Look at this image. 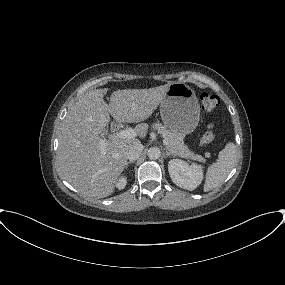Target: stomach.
Here are the masks:
<instances>
[{
  "label": "stomach",
  "mask_w": 285,
  "mask_h": 285,
  "mask_svg": "<svg viewBox=\"0 0 285 285\" xmlns=\"http://www.w3.org/2000/svg\"><path fill=\"white\" fill-rule=\"evenodd\" d=\"M160 114L169 130L182 136L191 133L200 117V106L194 90L185 83H172L160 103Z\"/></svg>",
  "instance_id": "obj_1"
}]
</instances>
